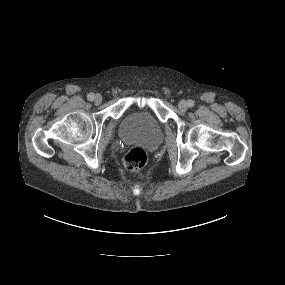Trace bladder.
Returning a JSON list of instances; mask_svg holds the SVG:
<instances>
[{"label":"bladder","mask_w":285,"mask_h":285,"mask_svg":"<svg viewBox=\"0 0 285 285\" xmlns=\"http://www.w3.org/2000/svg\"><path fill=\"white\" fill-rule=\"evenodd\" d=\"M122 135L148 148H155L162 140V129L154 119L130 118L123 123Z\"/></svg>","instance_id":"1"}]
</instances>
